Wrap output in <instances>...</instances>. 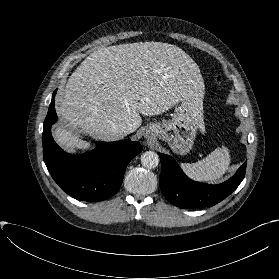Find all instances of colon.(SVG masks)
Segmentation results:
<instances>
[{"mask_svg": "<svg viewBox=\"0 0 279 279\" xmlns=\"http://www.w3.org/2000/svg\"><path fill=\"white\" fill-rule=\"evenodd\" d=\"M213 82H214V85L218 88L222 83L221 75H216Z\"/></svg>", "mask_w": 279, "mask_h": 279, "instance_id": "colon-1", "label": "colon"}]
</instances>
